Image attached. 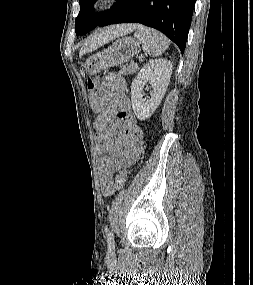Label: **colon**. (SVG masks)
Wrapping results in <instances>:
<instances>
[{
  "label": "colon",
  "instance_id": "obj_1",
  "mask_svg": "<svg viewBox=\"0 0 253 285\" xmlns=\"http://www.w3.org/2000/svg\"><path fill=\"white\" fill-rule=\"evenodd\" d=\"M87 92L89 98L94 99L99 92V79L98 77L90 78L87 82ZM129 175V171L126 169L121 170L114 180V188L115 190H120L125 185L127 178Z\"/></svg>",
  "mask_w": 253,
  "mask_h": 285
}]
</instances>
